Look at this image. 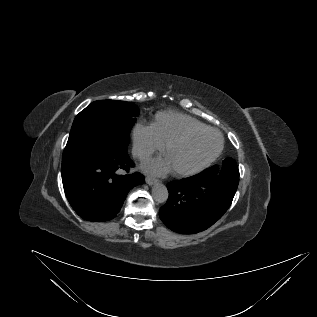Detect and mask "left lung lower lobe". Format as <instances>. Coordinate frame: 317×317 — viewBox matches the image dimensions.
I'll return each instance as SVG.
<instances>
[{
    "instance_id": "1",
    "label": "left lung lower lobe",
    "mask_w": 317,
    "mask_h": 317,
    "mask_svg": "<svg viewBox=\"0 0 317 317\" xmlns=\"http://www.w3.org/2000/svg\"><path fill=\"white\" fill-rule=\"evenodd\" d=\"M239 178L210 172L167 184L169 198L159 216L171 230L194 234L212 226L227 211Z\"/></svg>"
}]
</instances>
